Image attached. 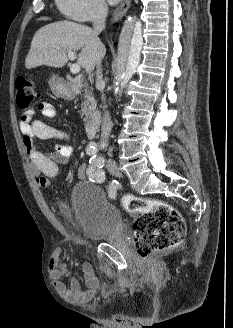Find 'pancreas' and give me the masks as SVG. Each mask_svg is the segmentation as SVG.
<instances>
[{"label": "pancreas", "mask_w": 233, "mask_h": 328, "mask_svg": "<svg viewBox=\"0 0 233 328\" xmlns=\"http://www.w3.org/2000/svg\"><path fill=\"white\" fill-rule=\"evenodd\" d=\"M84 87V94L81 95V117H84V122L89 121L96 114V101L92 92L86 84H81Z\"/></svg>", "instance_id": "obj_1"}]
</instances>
